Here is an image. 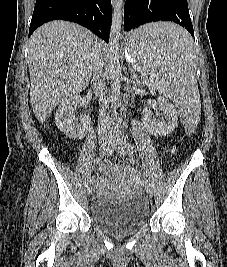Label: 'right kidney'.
<instances>
[{
  "mask_svg": "<svg viewBox=\"0 0 227 267\" xmlns=\"http://www.w3.org/2000/svg\"><path fill=\"white\" fill-rule=\"evenodd\" d=\"M82 102L80 96L74 95L61 102L55 115V123L60 131L72 139L83 138L91 124L89 116H82L78 120L75 111Z\"/></svg>",
  "mask_w": 227,
  "mask_h": 267,
  "instance_id": "right-kidney-1",
  "label": "right kidney"
}]
</instances>
